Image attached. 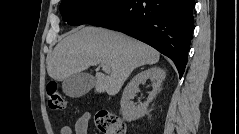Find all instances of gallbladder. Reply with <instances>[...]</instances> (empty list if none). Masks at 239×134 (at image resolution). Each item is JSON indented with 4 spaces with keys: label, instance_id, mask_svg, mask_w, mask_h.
<instances>
[{
    "label": "gallbladder",
    "instance_id": "1",
    "mask_svg": "<svg viewBox=\"0 0 239 134\" xmlns=\"http://www.w3.org/2000/svg\"><path fill=\"white\" fill-rule=\"evenodd\" d=\"M95 85L93 76L86 73H77L63 80V92L72 98H78L87 94Z\"/></svg>",
    "mask_w": 239,
    "mask_h": 134
}]
</instances>
